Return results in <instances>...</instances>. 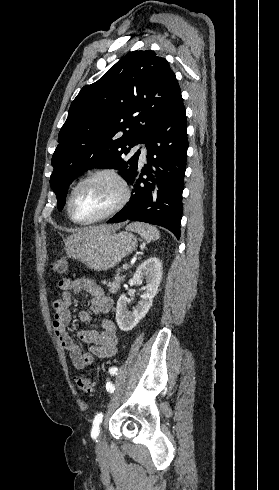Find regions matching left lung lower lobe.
Here are the masks:
<instances>
[{"label": "left lung lower lobe", "mask_w": 279, "mask_h": 490, "mask_svg": "<svg viewBox=\"0 0 279 490\" xmlns=\"http://www.w3.org/2000/svg\"><path fill=\"white\" fill-rule=\"evenodd\" d=\"M186 122L181 98L151 129L145 141L147 164L143 168L138 165L129 178L133 185L130 201L107 223L147 222L162 226L180 238L188 148Z\"/></svg>", "instance_id": "obj_1"}]
</instances>
